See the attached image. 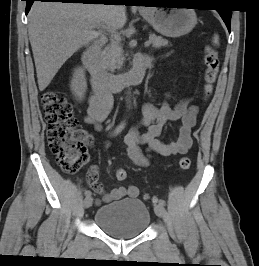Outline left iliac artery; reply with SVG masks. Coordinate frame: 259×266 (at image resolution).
Wrapping results in <instances>:
<instances>
[{"label": "left iliac artery", "instance_id": "obj_1", "mask_svg": "<svg viewBox=\"0 0 259 266\" xmlns=\"http://www.w3.org/2000/svg\"><path fill=\"white\" fill-rule=\"evenodd\" d=\"M159 204L162 205V206H165V205H166V202H165V200L160 199V200H159Z\"/></svg>", "mask_w": 259, "mask_h": 266}]
</instances>
